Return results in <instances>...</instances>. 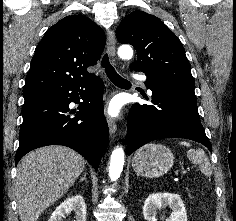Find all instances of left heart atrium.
I'll list each match as a JSON object with an SVG mask.
<instances>
[{"label": "left heart atrium", "mask_w": 236, "mask_h": 221, "mask_svg": "<svg viewBox=\"0 0 236 221\" xmlns=\"http://www.w3.org/2000/svg\"><path fill=\"white\" fill-rule=\"evenodd\" d=\"M108 114L111 116H117L119 113V105L115 102H111L108 107Z\"/></svg>", "instance_id": "1"}]
</instances>
